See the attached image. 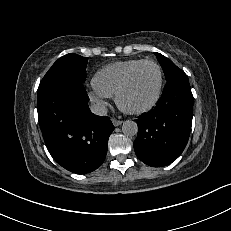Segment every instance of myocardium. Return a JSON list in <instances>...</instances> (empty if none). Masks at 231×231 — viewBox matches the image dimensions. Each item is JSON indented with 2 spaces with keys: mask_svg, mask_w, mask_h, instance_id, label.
Wrapping results in <instances>:
<instances>
[{
  "mask_svg": "<svg viewBox=\"0 0 231 231\" xmlns=\"http://www.w3.org/2000/svg\"><path fill=\"white\" fill-rule=\"evenodd\" d=\"M145 64H152L157 68L158 71V85H157V89L155 92V95L153 96L152 100L146 104L143 107L140 108H136V109H130L128 107H126L123 102H122V97L125 93V91L127 90V88L129 87L134 74L137 72V70L142 67ZM163 82H164V76H163V70L162 67L160 66L159 63H157L154 60L151 59H146L143 60L141 62H139L137 65H135L126 75V77L124 78L123 82L121 83L120 87L118 88L116 94H115V101L117 106L126 113L129 114H135V115H139V114H143L145 112L150 111L159 101L161 93H162V89H163Z\"/></svg>",
  "mask_w": 231,
  "mask_h": 231,
  "instance_id": "f54148a6",
  "label": "myocardium"
}]
</instances>
